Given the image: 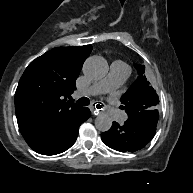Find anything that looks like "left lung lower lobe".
<instances>
[{"label": "left lung lower lobe", "mask_w": 193, "mask_h": 193, "mask_svg": "<svg viewBox=\"0 0 193 193\" xmlns=\"http://www.w3.org/2000/svg\"><path fill=\"white\" fill-rule=\"evenodd\" d=\"M146 111L129 116L124 125L113 122L110 130L101 134L102 141L120 152H134L142 149L154 137L158 113Z\"/></svg>", "instance_id": "left-lung-lower-lobe-1"}]
</instances>
